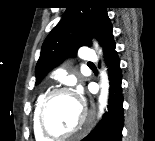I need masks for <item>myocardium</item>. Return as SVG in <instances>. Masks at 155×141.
I'll return each instance as SVG.
<instances>
[{"mask_svg": "<svg viewBox=\"0 0 155 141\" xmlns=\"http://www.w3.org/2000/svg\"><path fill=\"white\" fill-rule=\"evenodd\" d=\"M60 94H71V92L69 89L64 87L51 89L43 96L38 108V115H37L38 127L42 135L45 136L47 139H64V138L75 136L79 132L86 129L90 122L86 109L82 107L83 116L80 124L77 127L65 133H55L51 131L46 124V112H47V108L50 103V100L54 96L60 95Z\"/></svg>", "mask_w": 155, "mask_h": 141, "instance_id": "myocardium-1", "label": "myocardium"}]
</instances>
